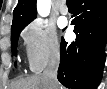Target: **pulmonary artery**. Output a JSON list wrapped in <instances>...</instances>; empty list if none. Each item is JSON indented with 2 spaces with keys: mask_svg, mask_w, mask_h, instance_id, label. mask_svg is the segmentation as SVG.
I'll return each instance as SVG.
<instances>
[{
  "mask_svg": "<svg viewBox=\"0 0 107 89\" xmlns=\"http://www.w3.org/2000/svg\"><path fill=\"white\" fill-rule=\"evenodd\" d=\"M60 12L63 15L68 14V7L65 4H61V6H60Z\"/></svg>",
  "mask_w": 107,
  "mask_h": 89,
  "instance_id": "e3ab8cb5",
  "label": "pulmonary artery"
}]
</instances>
